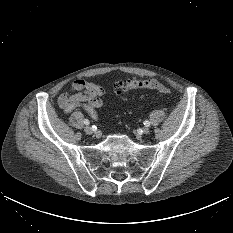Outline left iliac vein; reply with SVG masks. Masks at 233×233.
<instances>
[{"label":"left iliac vein","mask_w":233,"mask_h":233,"mask_svg":"<svg viewBox=\"0 0 233 233\" xmlns=\"http://www.w3.org/2000/svg\"><path fill=\"white\" fill-rule=\"evenodd\" d=\"M142 131L144 134H148L150 132V129L148 127H144Z\"/></svg>","instance_id":"1"}]
</instances>
